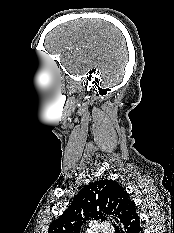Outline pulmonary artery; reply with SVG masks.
<instances>
[{"label": "pulmonary artery", "mask_w": 174, "mask_h": 233, "mask_svg": "<svg viewBox=\"0 0 174 233\" xmlns=\"http://www.w3.org/2000/svg\"><path fill=\"white\" fill-rule=\"evenodd\" d=\"M98 231L101 233H113V228L110 224L103 222L98 226Z\"/></svg>", "instance_id": "pulmonary-artery-1"}]
</instances>
